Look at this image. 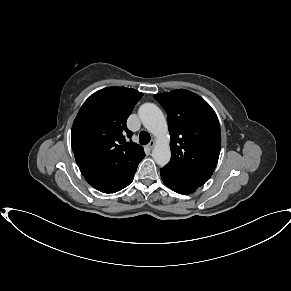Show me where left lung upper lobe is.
I'll use <instances>...</instances> for the list:
<instances>
[{
  "instance_id": "obj_1",
  "label": "left lung upper lobe",
  "mask_w": 291,
  "mask_h": 291,
  "mask_svg": "<svg viewBox=\"0 0 291 291\" xmlns=\"http://www.w3.org/2000/svg\"><path fill=\"white\" fill-rule=\"evenodd\" d=\"M168 116L171 160L163 168L202 186L212 175L221 148L216 113L198 95L184 89L154 95Z\"/></svg>"
}]
</instances>
